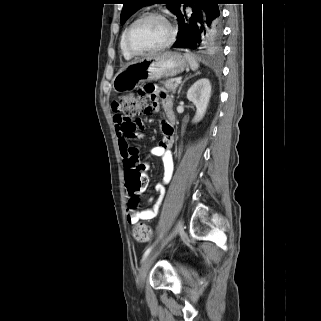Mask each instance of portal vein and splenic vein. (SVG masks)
Here are the masks:
<instances>
[{
    "mask_svg": "<svg viewBox=\"0 0 321 321\" xmlns=\"http://www.w3.org/2000/svg\"><path fill=\"white\" fill-rule=\"evenodd\" d=\"M176 84H180L181 83V80L180 79H178V80H176V82H175Z\"/></svg>",
    "mask_w": 321,
    "mask_h": 321,
    "instance_id": "18ae733b",
    "label": "portal vein and splenic vein"
}]
</instances>
